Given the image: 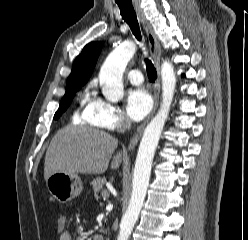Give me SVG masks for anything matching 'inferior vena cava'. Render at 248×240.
I'll list each match as a JSON object with an SVG mask.
<instances>
[{"instance_id":"obj_1","label":"inferior vena cava","mask_w":248,"mask_h":240,"mask_svg":"<svg viewBox=\"0 0 248 240\" xmlns=\"http://www.w3.org/2000/svg\"><path fill=\"white\" fill-rule=\"evenodd\" d=\"M130 126V121L126 119L120 127V132H124Z\"/></svg>"}]
</instances>
